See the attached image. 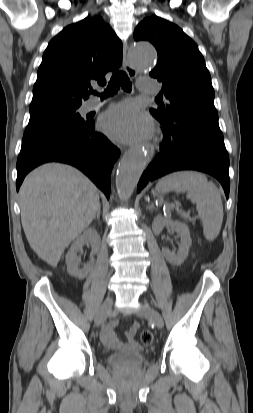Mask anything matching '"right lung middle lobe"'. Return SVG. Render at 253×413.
Here are the masks:
<instances>
[{"label": "right lung middle lobe", "mask_w": 253, "mask_h": 413, "mask_svg": "<svg viewBox=\"0 0 253 413\" xmlns=\"http://www.w3.org/2000/svg\"><path fill=\"white\" fill-rule=\"evenodd\" d=\"M77 109L78 107L58 108L30 113L22 143L84 128L88 121L81 118Z\"/></svg>", "instance_id": "dd1d6c3e"}]
</instances>
